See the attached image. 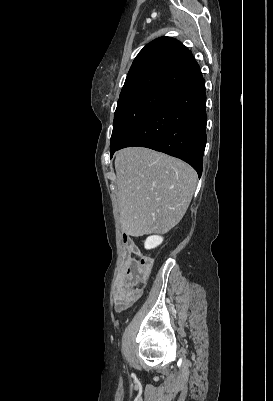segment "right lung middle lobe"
Wrapping results in <instances>:
<instances>
[{
  "instance_id": "dd1d6c3e",
  "label": "right lung middle lobe",
  "mask_w": 273,
  "mask_h": 401,
  "mask_svg": "<svg viewBox=\"0 0 273 401\" xmlns=\"http://www.w3.org/2000/svg\"><path fill=\"white\" fill-rule=\"evenodd\" d=\"M167 95L144 92L119 98L115 111L110 151L114 152Z\"/></svg>"
}]
</instances>
